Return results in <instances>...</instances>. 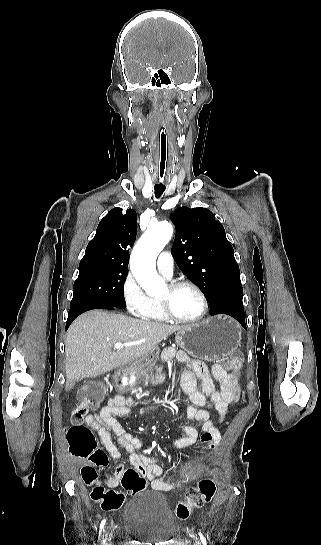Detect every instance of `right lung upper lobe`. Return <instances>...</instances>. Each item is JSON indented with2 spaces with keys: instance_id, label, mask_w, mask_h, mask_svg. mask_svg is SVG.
<instances>
[{
  "instance_id": "1",
  "label": "right lung upper lobe",
  "mask_w": 321,
  "mask_h": 545,
  "mask_svg": "<svg viewBox=\"0 0 321 545\" xmlns=\"http://www.w3.org/2000/svg\"><path fill=\"white\" fill-rule=\"evenodd\" d=\"M137 214L128 209L113 208L99 223L94 238L88 243L79 269L103 267L128 269L129 250L136 238Z\"/></svg>"
}]
</instances>
